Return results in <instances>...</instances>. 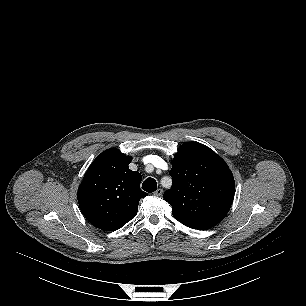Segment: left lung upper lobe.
Wrapping results in <instances>:
<instances>
[{
    "label": "left lung upper lobe",
    "mask_w": 306,
    "mask_h": 306,
    "mask_svg": "<svg viewBox=\"0 0 306 306\" xmlns=\"http://www.w3.org/2000/svg\"><path fill=\"white\" fill-rule=\"evenodd\" d=\"M172 188L164 193L175 219L193 229L206 230L228 213L235 183L226 163L210 148L186 142L172 161Z\"/></svg>",
    "instance_id": "5c2ea615"
}]
</instances>
